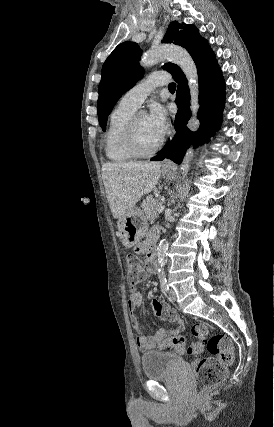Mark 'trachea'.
Masks as SVG:
<instances>
[{
	"label": "trachea",
	"mask_w": 274,
	"mask_h": 427,
	"mask_svg": "<svg viewBox=\"0 0 274 427\" xmlns=\"http://www.w3.org/2000/svg\"><path fill=\"white\" fill-rule=\"evenodd\" d=\"M168 89L170 90V92H174L176 90V84L175 83H170L168 85Z\"/></svg>",
	"instance_id": "trachea-1"
}]
</instances>
